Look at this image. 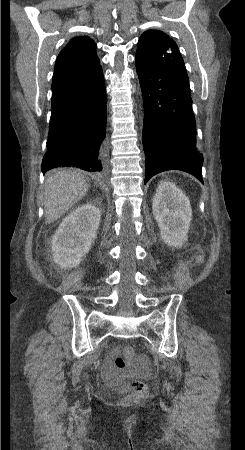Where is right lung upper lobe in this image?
I'll list each match as a JSON object with an SVG mask.
<instances>
[{
    "mask_svg": "<svg viewBox=\"0 0 245 450\" xmlns=\"http://www.w3.org/2000/svg\"><path fill=\"white\" fill-rule=\"evenodd\" d=\"M96 44L88 37L73 38L60 52L52 79V98L79 84L100 67Z\"/></svg>",
    "mask_w": 245,
    "mask_h": 450,
    "instance_id": "obj_1",
    "label": "right lung upper lobe"
}]
</instances>
